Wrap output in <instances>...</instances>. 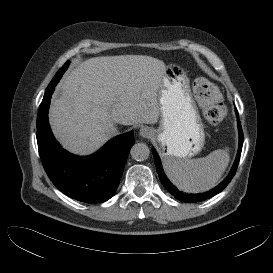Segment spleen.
Instances as JSON below:
<instances>
[{"label": "spleen", "instance_id": "obj_1", "mask_svg": "<svg viewBox=\"0 0 273 273\" xmlns=\"http://www.w3.org/2000/svg\"><path fill=\"white\" fill-rule=\"evenodd\" d=\"M230 156L228 149H218L203 158H165L168 178L180 190L188 193L204 192L213 188L226 170Z\"/></svg>", "mask_w": 273, "mask_h": 273}]
</instances>
